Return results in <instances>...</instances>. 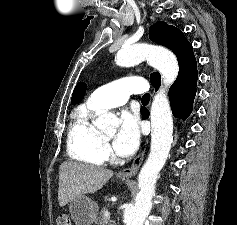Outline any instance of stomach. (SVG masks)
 <instances>
[{
  "label": "stomach",
  "instance_id": "1",
  "mask_svg": "<svg viewBox=\"0 0 237 225\" xmlns=\"http://www.w3.org/2000/svg\"><path fill=\"white\" fill-rule=\"evenodd\" d=\"M68 206L71 219L76 225H91L98 214L97 203L86 195L75 197Z\"/></svg>",
  "mask_w": 237,
  "mask_h": 225
}]
</instances>
